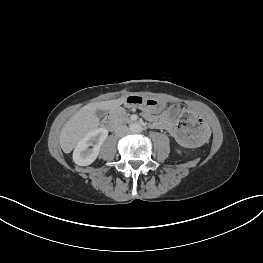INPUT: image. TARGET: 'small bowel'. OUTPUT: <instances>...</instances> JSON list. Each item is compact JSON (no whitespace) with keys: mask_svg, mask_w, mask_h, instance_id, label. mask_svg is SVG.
I'll return each instance as SVG.
<instances>
[{"mask_svg":"<svg viewBox=\"0 0 263 263\" xmlns=\"http://www.w3.org/2000/svg\"><path fill=\"white\" fill-rule=\"evenodd\" d=\"M160 114H155L153 112H145L144 113V117L147 121H149L154 128L156 129H161V130H164V131H167L178 143H180L178 140H177V134L170 128H167L165 125H163L161 122H160Z\"/></svg>","mask_w":263,"mask_h":263,"instance_id":"1","label":"small bowel"}]
</instances>
